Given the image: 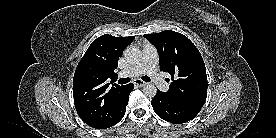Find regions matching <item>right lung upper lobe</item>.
I'll use <instances>...</instances> for the list:
<instances>
[{"label":"right lung upper lobe","mask_w":276,"mask_h":138,"mask_svg":"<svg viewBox=\"0 0 276 138\" xmlns=\"http://www.w3.org/2000/svg\"><path fill=\"white\" fill-rule=\"evenodd\" d=\"M134 40L102 35L94 40L78 63L73 78V97L80 118L97 129L111 127L125 101L126 85L113 84L118 59ZM112 84V85H111Z\"/></svg>","instance_id":"cb5924a9"}]
</instances>
